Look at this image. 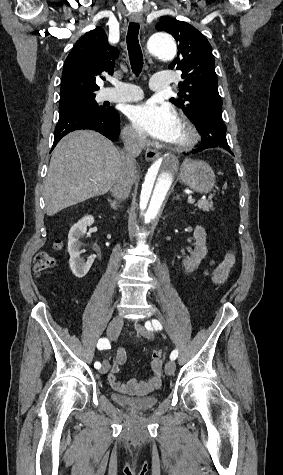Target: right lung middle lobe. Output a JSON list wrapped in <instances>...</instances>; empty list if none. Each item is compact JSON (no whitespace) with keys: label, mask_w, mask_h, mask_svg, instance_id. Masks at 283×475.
Listing matches in <instances>:
<instances>
[{"label":"right lung middle lobe","mask_w":283,"mask_h":475,"mask_svg":"<svg viewBox=\"0 0 283 475\" xmlns=\"http://www.w3.org/2000/svg\"><path fill=\"white\" fill-rule=\"evenodd\" d=\"M73 107H84L99 115H106L109 108L99 106L95 101V93L69 90L60 92L59 111Z\"/></svg>","instance_id":"right-lung-middle-lobe-1"}]
</instances>
